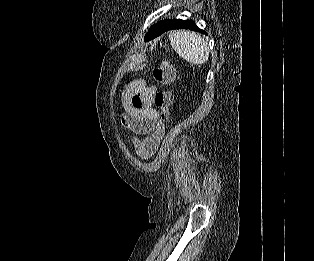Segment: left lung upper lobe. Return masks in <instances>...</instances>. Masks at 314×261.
I'll use <instances>...</instances> for the list:
<instances>
[{
    "instance_id": "left-lung-upper-lobe-1",
    "label": "left lung upper lobe",
    "mask_w": 314,
    "mask_h": 261,
    "mask_svg": "<svg viewBox=\"0 0 314 261\" xmlns=\"http://www.w3.org/2000/svg\"><path fill=\"white\" fill-rule=\"evenodd\" d=\"M168 22H169V20H163V21H160V22L156 23L155 25H153L148 30L147 34L145 35V41L151 40L152 37L154 36V34L157 33Z\"/></svg>"
}]
</instances>
